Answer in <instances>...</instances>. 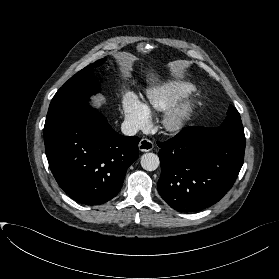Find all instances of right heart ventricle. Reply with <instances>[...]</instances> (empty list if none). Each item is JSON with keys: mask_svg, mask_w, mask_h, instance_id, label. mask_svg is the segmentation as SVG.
<instances>
[{"mask_svg": "<svg viewBox=\"0 0 279 279\" xmlns=\"http://www.w3.org/2000/svg\"><path fill=\"white\" fill-rule=\"evenodd\" d=\"M194 90L195 86L192 83L178 77H170L149 87L146 95L152 108L166 111Z\"/></svg>", "mask_w": 279, "mask_h": 279, "instance_id": "obj_1", "label": "right heart ventricle"}]
</instances>
